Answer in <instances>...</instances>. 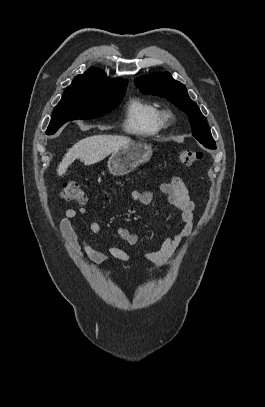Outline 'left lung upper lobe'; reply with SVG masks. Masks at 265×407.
Instances as JSON below:
<instances>
[{
	"instance_id": "5c2ea615",
	"label": "left lung upper lobe",
	"mask_w": 265,
	"mask_h": 407,
	"mask_svg": "<svg viewBox=\"0 0 265 407\" xmlns=\"http://www.w3.org/2000/svg\"><path fill=\"white\" fill-rule=\"evenodd\" d=\"M135 85L141 92L164 97L185 112L189 117L193 136L205 147L216 149L215 141L206 123L207 119L197 104L190 99L182 83L174 80L168 72H164L138 78L135 80Z\"/></svg>"
}]
</instances>
